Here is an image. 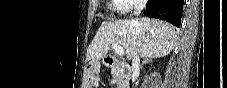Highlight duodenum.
Returning a JSON list of instances; mask_svg holds the SVG:
<instances>
[{"label": "duodenum", "instance_id": "1", "mask_svg": "<svg viewBox=\"0 0 227 88\" xmlns=\"http://www.w3.org/2000/svg\"><path fill=\"white\" fill-rule=\"evenodd\" d=\"M118 63H119V61H118L117 58H107V59L105 60L104 65H105L106 67H113V66H116Z\"/></svg>", "mask_w": 227, "mask_h": 88}]
</instances>
